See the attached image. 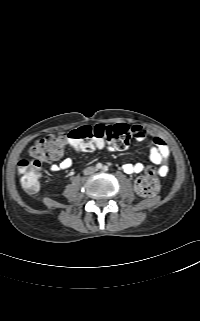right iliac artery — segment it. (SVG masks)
I'll list each match as a JSON object with an SVG mask.
<instances>
[{
	"mask_svg": "<svg viewBox=\"0 0 200 321\" xmlns=\"http://www.w3.org/2000/svg\"><path fill=\"white\" fill-rule=\"evenodd\" d=\"M96 167H97V169H101V168H102V164H101V163H98V164L96 165Z\"/></svg>",
	"mask_w": 200,
	"mask_h": 321,
	"instance_id": "obj_1",
	"label": "right iliac artery"
}]
</instances>
